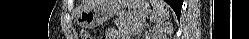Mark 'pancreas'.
I'll return each instance as SVG.
<instances>
[{
	"mask_svg": "<svg viewBox=\"0 0 249 39\" xmlns=\"http://www.w3.org/2000/svg\"><path fill=\"white\" fill-rule=\"evenodd\" d=\"M114 24L124 36L135 35L142 29L141 21L126 17L116 18Z\"/></svg>",
	"mask_w": 249,
	"mask_h": 39,
	"instance_id": "pancreas-1",
	"label": "pancreas"
}]
</instances>
